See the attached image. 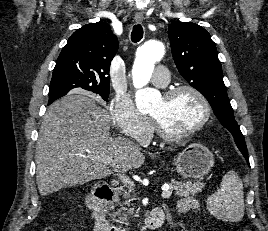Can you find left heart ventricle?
Listing matches in <instances>:
<instances>
[{
    "mask_svg": "<svg viewBox=\"0 0 268 231\" xmlns=\"http://www.w3.org/2000/svg\"><path fill=\"white\" fill-rule=\"evenodd\" d=\"M149 114L161 119L171 132L183 133L200 121L203 107L194 95L184 92L170 101L161 97L152 105Z\"/></svg>",
    "mask_w": 268,
    "mask_h": 231,
    "instance_id": "b2bd125f",
    "label": "left heart ventricle"
}]
</instances>
